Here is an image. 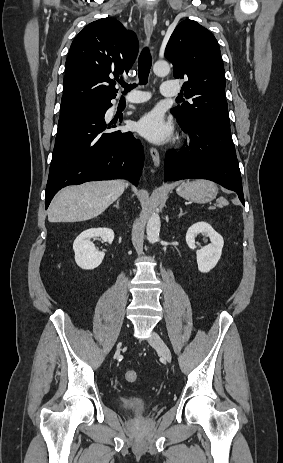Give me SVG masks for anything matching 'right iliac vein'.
Segmentation results:
<instances>
[{"label": "right iliac vein", "instance_id": "63e3f726", "mask_svg": "<svg viewBox=\"0 0 283 463\" xmlns=\"http://www.w3.org/2000/svg\"><path fill=\"white\" fill-rule=\"evenodd\" d=\"M119 349H120V346H118V351H119Z\"/></svg>", "mask_w": 283, "mask_h": 463}]
</instances>
